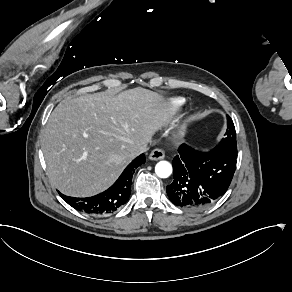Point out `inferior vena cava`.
<instances>
[{
    "label": "inferior vena cava",
    "mask_w": 292,
    "mask_h": 292,
    "mask_svg": "<svg viewBox=\"0 0 292 292\" xmlns=\"http://www.w3.org/2000/svg\"><path fill=\"white\" fill-rule=\"evenodd\" d=\"M147 150H148L147 144L142 145V146H139V147H137V148L134 149V155L135 156H138L141 153L146 152Z\"/></svg>",
    "instance_id": "inferior-vena-cava-1"
}]
</instances>
